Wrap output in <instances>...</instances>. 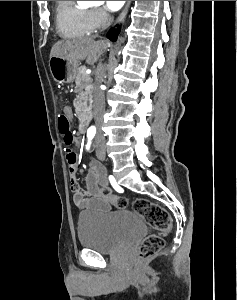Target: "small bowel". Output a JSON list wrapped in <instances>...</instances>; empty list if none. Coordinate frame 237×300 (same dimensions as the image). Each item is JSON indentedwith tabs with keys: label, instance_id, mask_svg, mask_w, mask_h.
Wrapping results in <instances>:
<instances>
[{
	"label": "small bowel",
	"instance_id": "obj_1",
	"mask_svg": "<svg viewBox=\"0 0 237 300\" xmlns=\"http://www.w3.org/2000/svg\"><path fill=\"white\" fill-rule=\"evenodd\" d=\"M63 114L70 120L71 110L66 107ZM66 162L71 175L70 186L73 193V202L80 210L109 211L111 202L101 194V189L108 186L105 169L98 163H91L86 177V188L79 185L76 174L79 171V155L75 150H67Z\"/></svg>",
	"mask_w": 237,
	"mask_h": 300
}]
</instances>
